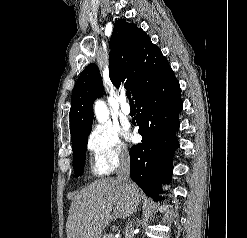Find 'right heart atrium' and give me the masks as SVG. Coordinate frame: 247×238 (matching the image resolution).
Wrapping results in <instances>:
<instances>
[{
  "label": "right heart atrium",
  "mask_w": 247,
  "mask_h": 238,
  "mask_svg": "<svg viewBox=\"0 0 247 238\" xmlns=\"http://www.w3.org/2000/svg\"><path fill=\"white\" fill-rule=\"evenodd\" d=\"M95 163L105 172H113L129 158V150L118 130L107 124L94 126L87 139Z\"/></svg>",
  "instance_id": "d8ad5b80"
}]
</instances>
